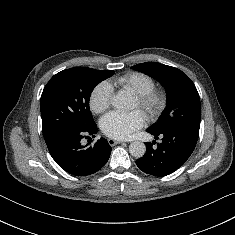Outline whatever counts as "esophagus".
<instances>
[{
  "instance_id": "34e87169",
  "label": "esophagus",
  "mask_w": 235,
  "mask_h": 235,
  "mask_svg": "<svg viewBox=\"0 0 235 235\" xmlns=\"http://www.w3.org/2000/svg\"><path fill=\"white\" fill-rule=\"evenodd\" d=\"M108 143H109V145L114 146V145H117V144H119V143H122V141H120V140H115V139H113V138H109V139H108Z\"/></svg>"
}]
</instances>
